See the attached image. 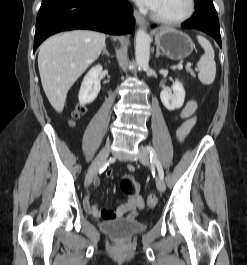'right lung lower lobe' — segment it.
<instances>
[{
    "mask_svg": "<svg viewBox=\"0 0 247 265\" xmlns=\"http://www.w3.org/2000/svg\"><path fill=\"white\" fill-rule=\"evenodd\" d=\"M135 19L127 0H42L36 21L34 52L47 37L73 29L109 34L133 31Z\"/></svg>",
    "mask_w": 247,
    "mask_h": 265,
    "instance_id": "1",
    "label": "right lung lower lobe"
}]
</instances>
